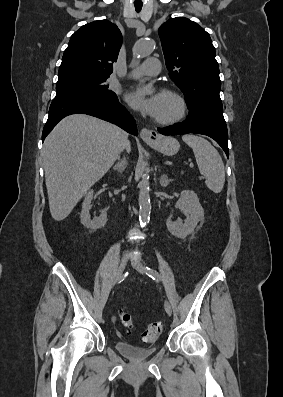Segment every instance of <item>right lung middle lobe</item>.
<instances>
[{
	"mask_svg": "<svg viewBox=\"0 0 283 397\" xmlns=\"http://www.w3.org/2000/svg\"><path fill=\"white\" fill-rule=\"evenodd\" d=\"M109 76L71 74L58 79L56 97L69 94H86L106 100H118L116 94L105 83Z\"/></svg>",
	"mask_w": 283,
	"mask_h": 397,
	"instance_id": "1",
	"label": "right lung middle lobe"
}]
</instances>
